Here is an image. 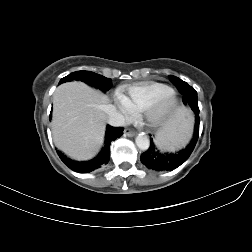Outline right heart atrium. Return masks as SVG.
<instances>
[{
    "mask_svg": "<svg viewBox=\"0 0 252 252\" xmlns=\"http://www.w3.org/2000/svg\"><path fill=\"white\" fill-rule=\"evenodd\" d=\"M116 106L122 120H128L133 117L134 111L130 108L129 103L121 94H117Z\"/></svg>",
    "mask_w": 252,
    "mask_h": 252,
    "instance_id": "obj_1",
    "label": "right heart atrium"
}]
</instances>
